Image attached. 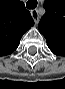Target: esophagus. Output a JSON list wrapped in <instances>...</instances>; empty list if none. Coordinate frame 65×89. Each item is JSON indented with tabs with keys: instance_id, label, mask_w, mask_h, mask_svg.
<instances>
[{
	"instance_id": "1",
	"label": "esophagus",
	"mask_w": 65,
	"mask_h": 89,
	"mask_svg": "<svg viewBox=\"0 0 65 89\" xmlns=\"http://www.w3.org/2000/svg\"><path fill=\"white\" fill-rule=\"evenodd\" d=\"M31 15H32V17H33L35 23H38V21H39L38 10H37V9L31 10Z\"/></svg>"
}]
</instances>
